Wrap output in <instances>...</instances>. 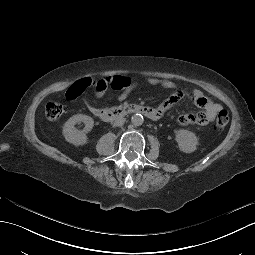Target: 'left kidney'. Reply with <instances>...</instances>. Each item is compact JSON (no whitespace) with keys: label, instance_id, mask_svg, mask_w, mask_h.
Instances as JSON below:
<instances>
[{"label":"left kidney","instance_id":"obj_1","mask_svg":"<svg viewBox=\"0 0 255 255\" xmlns=\"http://www.w3.org/2000/svg\"><path fill=\"white\" fill-rule=\"evenodd\" d=\"M176 133V141L178 142L179 149L186 153H191L196 150L198 140L193 132L188 130H178Z\"/></svg>","mask_w":255,"mask_h":255}]
</instances>
